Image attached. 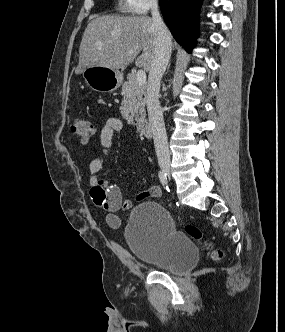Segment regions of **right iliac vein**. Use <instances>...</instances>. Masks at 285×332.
I'll return each instance as SVG.
<instances>
[{
    "label": "right iliac vein",
    "mask_w": 285,
    "mask_h": 332,
    "mask_svg": "<svg viewBox=\"0 0 285 332\" xmlns=\"http://www.w3.org/2000/svg\"><path fill=\"white\" fill-rule=\"evenodd\" d=\"M161 168H162V171L163 172H165V173H167L168 175L170 174V166L169 165H167V164H162L161 165Z\"/></svg>",
    "instance_id": "1"
}]
</instances>
